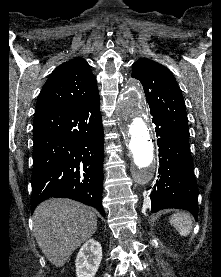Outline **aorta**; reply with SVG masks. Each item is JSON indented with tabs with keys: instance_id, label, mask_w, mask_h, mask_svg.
Masks as SVG:
<instances>
[{
	"instance_id": "obj_1",
	"label": "aorta",
	"mask_w": 221,
	"mask_h": 277,
	"mask_svg": "<svg viewBox=\"0 0 221 277\" xmlns=\"http://www.w3.org/2000/svg\"><path fill=\"white\" fill-rule=\"evenodd\" d=\"M117 112L128 147L133 156V176L137 184H146L154 177L157 164L149 130V118L140 89L129 82L117 102Z\"/></svg>"
}]
</instances>
